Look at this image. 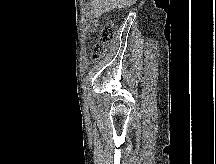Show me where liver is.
<instances>
[{"instance_id": "1", "label": "liver", "mask_w": 216, "mask_h": 164, "mask_svg": "<svg viewBox=\"0 0 216 164\" xmlns=\"http://www.w3.org/2000/svg\"><path fill=\"white\" fill-rule=\"evenodd\" d=\"M137 0H93V13L96 17L114 10L132 6Z\"/></svg>"}]
</instances>
